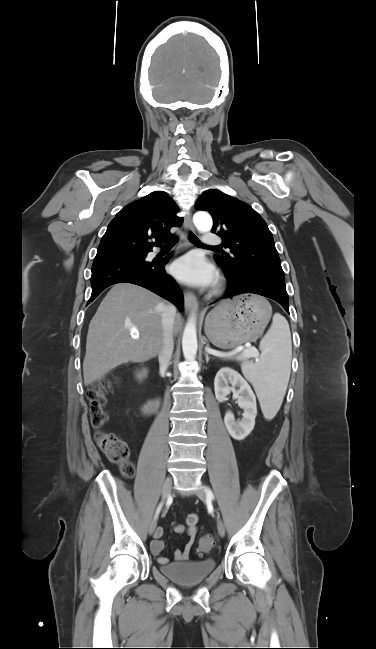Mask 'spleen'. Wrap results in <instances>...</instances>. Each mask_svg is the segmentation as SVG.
<instances>
[{
    "mask_svg": "<svg viewBox=\"0 0 376 649\" xmlns=\"http://www.w3.org/2000/svg\"><path fill=\"white\" fill-rule=\"evenodd\" d=\"M258 363H245L242 373L252 383L266 419H272L280 409L288 386L292 345L287 320L280 314L260 342Z\"/></svg>",
    "mask_w": 376,
    "mask_h": 649,
    "instance_id": "3e777b00",
    "label": "spleen"
}]
</instances>
